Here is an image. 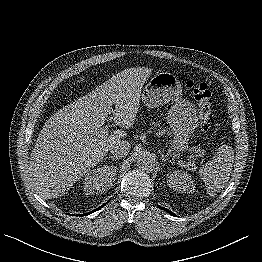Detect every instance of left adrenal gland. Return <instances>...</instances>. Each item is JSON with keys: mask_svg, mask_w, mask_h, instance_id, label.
Wrapping results in <instances>:
<instances>
[{"mask_svg": "<svg viewBox=\"0 0 262 262\" xmlns=\"http://www.w3.org/2000/svg\"><path fill=\"white\" fill-rule=\"evenodd\" d=\"M160 155H161V158H162V162L165 163L166 161L170 162V163H175L174 161H171L169 159L166 158V156L160 151Z\"/></svg>", "mask_w": 262, "mask_h": 262, "instance_id": "1", "label": "left adrenal gland"}]
</instances>
